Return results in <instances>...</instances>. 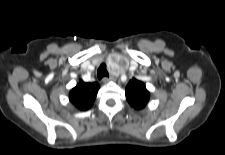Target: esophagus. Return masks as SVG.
I'll list each match as a JSON object with an SVG mask.
<instances>
[{"instance_id":"obj_1","label":"esophagus","mask_w":225,"mask_h":155,"mask_svg":"<svg viewBox=\"0 0 225 155\" xmlns=\"http://www.w3.org/2000/svg\"><path fill=\"white\" fill-rule=\"evenodd\" d=\"M113 79H114L113 76L104 77V78L102 79V82H103V83H108L109 81H111V80H113Z\"/></svg>"}]
</instances>
